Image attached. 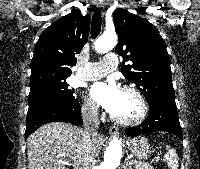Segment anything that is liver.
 I'll use <instances>...</instances> for the list:
<instances>
[{
	"label": "liver",
	"instance_id": "obj_1",
	"mask_svg": "<svg viewBox=\"0 0 200 169\" xmlns=\"http://www.w3.org/2000/svg\"><path fill=\"white\" fill-rule=\"evenodd\" d=\"M81 129L68 123L52 122L41 126L27 140L29 169H66L63 162H72L80 169L84 156ZM93 157H97L104 144L102 135L92 138Z\"/></svg>",
	"mask_w": 200,
	"mask_h": 169
}]
</instances>
